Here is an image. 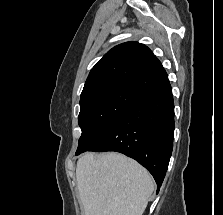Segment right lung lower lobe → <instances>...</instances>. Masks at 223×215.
Instances as JSON below:
<instances>
[{"label": "right lung lower lobe", "instance_id": "right-lung-lower-lobe-1", "mask_svg": "<svg viewBox=\"0 0 223 215\" xmlns=\"http://www.w3.org/2000/svg\"><path fill=\"white\" fill-rule=\"evenodd\" d=\"M174 102L170 83L144 95L87 151H115L164 180L173 149Z\"/></svg>", "mask_w": 223, "mask_h": 215}]
</instances>
